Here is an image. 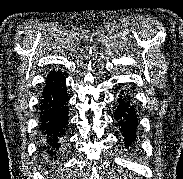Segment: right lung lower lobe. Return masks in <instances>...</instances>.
Here are the masks:
<instances>
[{
  "label": "right lung lower lobe",
  "mask_w": 183,
  "mask_h": 179,
  "mask_svg": "<svg viewBox=\"0 0 183 179\" xmlns=\"http://www.w3.org/2000/svg\"><path fill=\"white\" fill-rule=\"evenodd\" d=\"M68 94L64 75L55 70L47 75L39 105L40 149L52 159L64 144L68 128Z\"/></svg>",
  "instance_id": "right-lung-lower-lobe-1"
}]
</instances>
